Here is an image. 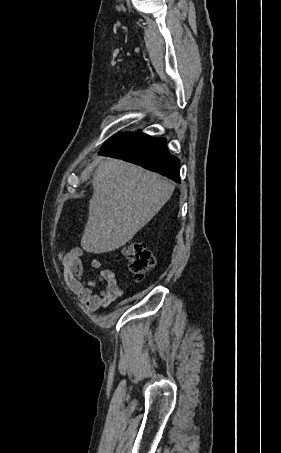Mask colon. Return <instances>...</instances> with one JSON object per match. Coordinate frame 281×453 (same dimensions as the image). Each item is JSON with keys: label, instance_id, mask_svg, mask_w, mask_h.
<instances>
[{"label": "colon", "instance_id": "obj_1", "mask_svg": "<svg viewBox=\"0 0 281 453\" xmlns=\"http://www.w3.org/2000/svg\"><path fill=\"white\" fill-rule=\"evenodd\" d=\"M122 251L130 271L139 278H143L150 268L157 265V258L144 242L131 240L123 245Z\"/></svg>", "mask_w": 281, "mask_h": 453}]
</instances>
